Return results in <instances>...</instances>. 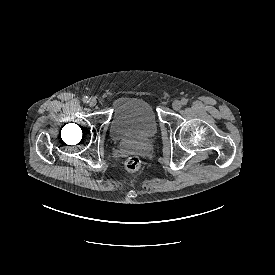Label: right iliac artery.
Returning a JSON list of instances; mask_svg holds the SVG:
<instances>
[{"instance_id":"82829eb1","label":"right iliac artery","mask_w":275,"mask_h":275,"mask_svg":"<svg viewBox=\"0 0 275 275\" xmlns=\"http://www.w3.org/2000/svg\"><path fill=\"white\" fill-rule=\"evenodd\" d=\"M83 102H84V103H88V102H89V98H88L87 96H84V97H83Z\"/></svg>"}]
</instances>
